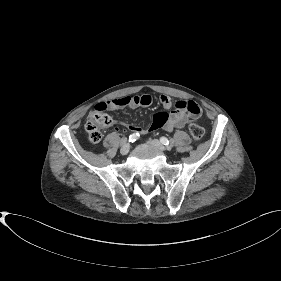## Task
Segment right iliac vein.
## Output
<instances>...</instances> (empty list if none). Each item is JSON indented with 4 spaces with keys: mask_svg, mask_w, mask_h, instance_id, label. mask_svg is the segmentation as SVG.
<instances>
[{
    "mask_svg": "<svg viewBox=\"0 0 281 281\" xmlns=\"http://www.w3.org/2000/svg\"><path fill=\"white\" fill-rule=\"evenodd\" d=\"M130 150V144L129 143H125L122 145L121 149H120V153L122 155H126Z\"/></svg>",
    "mask_w": 281,
    "mask_h": 281,
    "instance_id": "right-iliac-vein-1",
    "label": "right iliac vein"
}]
</instances>
